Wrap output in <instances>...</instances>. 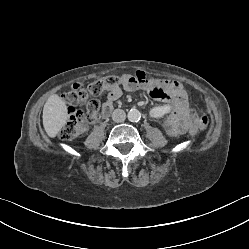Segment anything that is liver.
I'll list each match as a JSON object with an SVG mask.
<instances>
[{"label": "liver", "instance_id": "1", "mask_svg": "<svg viewBox=\"0 0 249 249\" xmlns=\"http://www.w3.org/2000/svg\"><path fill=\"white\" fill-rule=\"evenodd\" d=\"M42 118L47 135L54 138L66 124L68 118L66 102L57 94L50 96L44 105Z\"/></svg>", "mask_w": 249, "mask_h": 249}]
</instances>
